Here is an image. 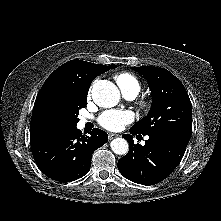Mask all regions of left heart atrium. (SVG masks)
<instances>
[{"mask_svg": "<svg viewBox=\"0 0 221 221\" xmlns=\"http://www.w3.org/2000/svg\"><path fill=\"white\" fill-rule=\"evenodd\" d=\"M134 120V114L127 110H107L98 117L99 125L109 131H120Z\"/></svg>", "mask_w": 221, "mask_h": 221, "instance_id": "left-heart-atrium-1", "label": "left heart atrium"}]
</instances>
